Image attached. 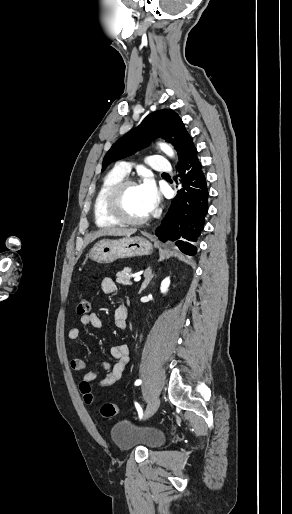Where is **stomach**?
<instances>
[{"mask_svg": "<svg viewBox=\"0 0 292 514\" xmlns=\"http://www.w3.org/2000/svg\"><path fill=\"white\" fill-rule=\"evenodd\" d=\"M152 252V244L135 236V238H121V240H100L92 248V260L98 264H112L120 258H134V256H149Z\"/></svg>", "mask_w": 292, "mask_h": 514, "instance_id": "1", "label": "stomach"}]
</instances>
